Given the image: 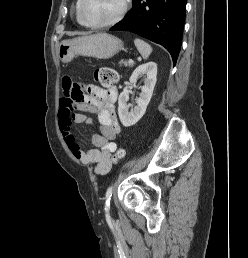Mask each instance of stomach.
Wrapping results in <instances>:
<instances>
[{"label": "stomach", "mask_w": 248, "mask_h": 258, "mask_svg": "<svg viewBox=\"0 0 248 258\" xmlns=\"http://www.w3.org/2000/svg\"><path fill=\"white\" fill-rule=\"evenodd\" d=\"M123 46L119 38L107 33H97L62 41L58 57L63 63L71 62L78 55L109 59L121 51Z\"/></svg>", "instance_id": "obj_1"}]
</instances>
